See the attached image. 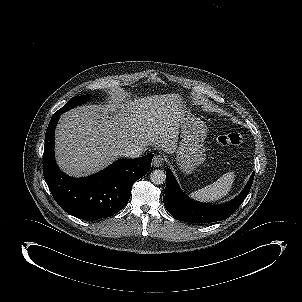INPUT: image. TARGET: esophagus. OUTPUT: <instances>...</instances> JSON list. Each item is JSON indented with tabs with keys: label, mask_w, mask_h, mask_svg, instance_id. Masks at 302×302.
Segmentation results:
<instances>
[{
	"label": "esophagus",
	"mask_w": 302,
	"mask_h": 302,
	"mask_svg": "<svg viewBox=\"0 0 302 302\" xmlns=\"http://www.w3.org/2000/svg\"><path fill=\"white\" fill-rule=\"evenodd\" d=\"M164 163V158L160 155H156L154 156L153 160H152V165L154 167H160L162 166Z\"/></svg>",
	"instance_id": "obj_1"
}]
</instances>
